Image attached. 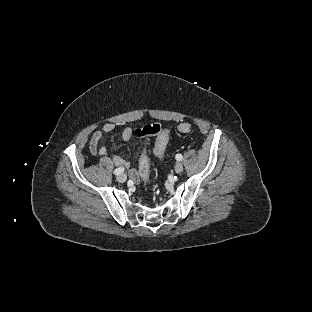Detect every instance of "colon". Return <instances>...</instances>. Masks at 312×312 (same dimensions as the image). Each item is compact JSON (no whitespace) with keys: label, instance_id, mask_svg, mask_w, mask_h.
<instances>
[{"label":"colon","instance_id":"obj_1","mask_svg":"<svg viewBox=\"0 0 312 312\" xmlns=\"http://www.w3.org/2000/svg\"><path fill=\"white\" fill-rule=\"evenodd\" d=\"M161 129L160 124L158 123H151L146 125L143 128V135L150 134L155 135ZM179 130L181 133L186 134L189 132L190 127L188 124L183 123L180 125ZM173 136V131L171 129L164 130L156 139L154 143V151L156 155V159L158 161H163L165 159L164 149H165V142L169 140ZM138 174L141 182L143 184H149L151 178L154 176L153 171L150 168V161L149 157L146 153H142L139 158V168Z\"/></svg>","mask_w":312,"mask_h":312}]
</instances>
